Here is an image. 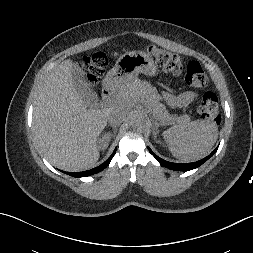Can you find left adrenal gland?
Returning <instances> with one entry per match:
<instances>
[{
	"label": "left adrenal gland",
	"mask_w": 253,
	"mask_h": 253,
	"mask_svg": "<svg viewBox=\"0 0 253 253\" xmlns=\"http://www.w3.org/2000/svg\"><path fill=\"white\" fill-rule=\"evenodd\" d=\"M158 126L159 124L157 122H155V127H154V130H153V135H154V140L157 142V133H158Z\"/></svg>",
	"instance_id": "left-adrenal-gland-1"
}]
</instances>
